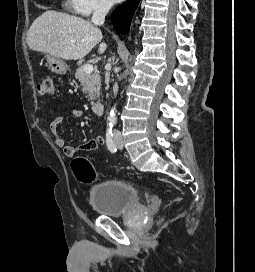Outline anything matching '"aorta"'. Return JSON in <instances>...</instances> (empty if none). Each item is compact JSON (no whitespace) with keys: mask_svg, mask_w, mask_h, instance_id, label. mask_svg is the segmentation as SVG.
Here are the masks:
<instances>
[{"mask_svg":"<svg viewBox=\"0 0 255 272\" xmlns=\"http://www.w3.org/2000/svg\"><path fill=\"white\" fill-rule=\"evenodd\" d=\"M117 121L116 113H115V107L112 108L109 112V115L107 117V125L108 127H112Z\"/></svg>","mask_w":255,"mask_h":272,"instance_id":"762f6f07","label":"aorta"}]
</instances>
